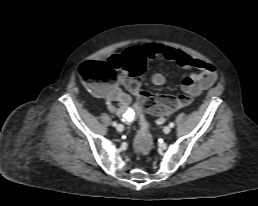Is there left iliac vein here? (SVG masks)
Returning a JSON list of instances; mask_svg holds the SVG:
<instances>
[{
  "label": "left iliac vein",
  "instance_id": "obj_1",
  "mask_svg": "<svg viewBox=\"0 0 258 206\" xmlns=\"http://www.w3.org/2000/svg\"><path fill=\"white\" fill-rule=\"evenodd\" d=\"M163 131H164L165 134H168V133H170L171 128L169 126H165Z\"/></svg>",
  "mask_w": 258,
  "mask_h": 206
}]
</instances>
